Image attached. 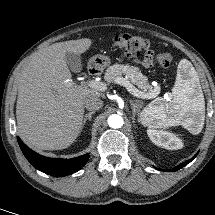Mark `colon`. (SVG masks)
<instances>
[{
    "mask_svg": "<svg viewBox=\"0 0 215 215\" xmlns=\"http://www.w3.org/2000/svg\"><path fill=\"white\" fill-rule=\"evenodd\" d=\"M113 44L128 57H138L148 47V42L144 38L130 34L116 35ZM173 60L174 56L170 52L161 53L157 57L159 65L163 68L170 67Z\"/></svg>",
    "mask_w": 215,
    "mask_h": 215,
    "instance_id": "colon-1",
    "label": "colon"
}]
</instances>
